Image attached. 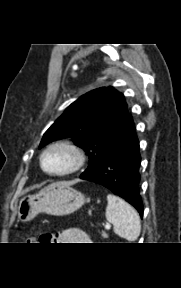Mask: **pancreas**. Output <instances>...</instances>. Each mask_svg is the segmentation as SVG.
Segmentation results:
<instances>
[{
  "instance_id": "pancreas-1",
  "label": "pancreas",
  "mask_w": 181,
  "mask_h": 288,
  "mask_svg": "<svg viewBox=\"0 0 181 288\" xmlns=\"http://www.w3.org/2000/svg\"><path fill=\"white\" fill-rule=\"evenodd\" d=\"M102 236H103V238H107L108 237V235L106 234L105 231H102Z\"/></svg>"
}]
</instances>
